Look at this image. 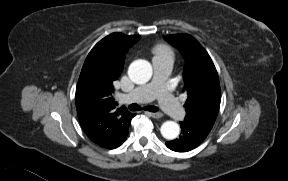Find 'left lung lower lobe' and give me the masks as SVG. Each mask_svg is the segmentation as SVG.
I'll return each mask as SVG.
<instances>
[{"instance_id": "obj_1", "label": "left lung lower lobe", "mask_w": 288, "mask_h": 181, "mask_svg": "<svg viewBox=\"0 0 288 181\" xmlns=\"http://www.w3.org/2000/svg\"><path fill=\"white\" fill-rule=\"evenodd\" d=\"M181 135L178 139L166 142V146L177 152H187L196 148L207 137L211 128L193 122H180Z\"/></svg>"}]
</instances>
